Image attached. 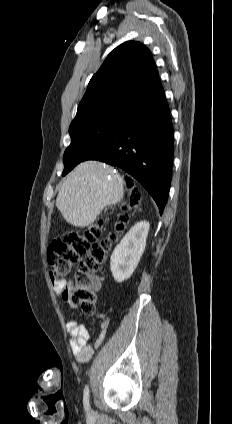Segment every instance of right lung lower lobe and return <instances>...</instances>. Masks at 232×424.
Returning <instances> with one entry per match:
<instances>
[{"instance_id": "right-lung-lower-lobe-1", "label": "right lung lower lobe", "mask_w": 232, "mask_h": 424, "mask_svg": "<svg viewBox=\"0 0 232 424\" xmlns=\"http://www.w3.org/2000/svg\"><path fill=\"white\" fill-rule=\"evenodd\" d=\"M173 125L163 88L132 105L128 120L84 160L118 166L138 180L163 213L171 184Z\"/></svg>"}]
</instances>
